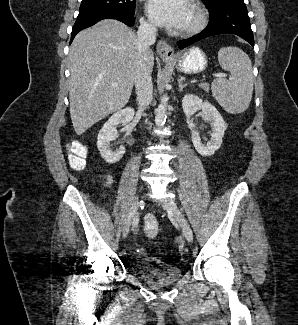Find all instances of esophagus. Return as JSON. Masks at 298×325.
<instances>
[{
	"instance_id": "1",
	"label": "esophagus",
	"mask_w": 298,
	"mask_h": 325,
	"mask_svg": "<svg viewBox=\"0 0 298 325\" xmlns=\"http://www.w3.org/2000/svg\"><path fill=\"white\" fill-rule=\"evenodd\" d=\"M157 53L161 58L166 60L174 57V49L165 40H159L157 44Z\"/></svg>"
}]
</instances>
